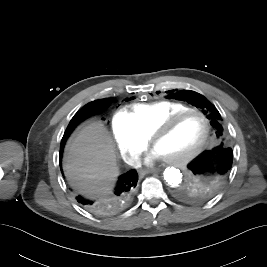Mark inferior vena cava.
<instances>
[{"label":"inferior vena cava","instance_id":"obj_1","mask_svg":"<svg viewBox=\"0 0 267 267\" xmlns=\"http://www.w3.org/2000/svg\"><path fill=\"white\" fill-rule=\"evenodd\" d=\"M126 163L135 168H138L141 165V161L138 157H129L126 159Z\"/></svg>","mask_w":267,"mask_h":267}]
</instances>
